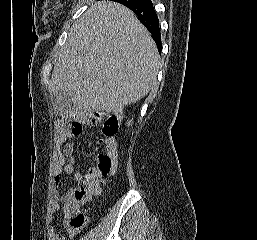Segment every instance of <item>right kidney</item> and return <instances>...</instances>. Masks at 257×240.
Segmentation results:
<instances>
[{
  "label": "right kidney",
  "instance_id": "obj_1",
  "mask_svg": "<svg viewBox=\"0 0 257 240\" xmlns=\"http://www.w3.org/2000/svg\"><path fill=\"white\" fill-rule=\"evenodd\" d=\"M131 123H132V120H130V121L128 122V125H131Z\"/></svg>",
  "mask_w": 257,
  "mask_h": 240
}]
</instances>
